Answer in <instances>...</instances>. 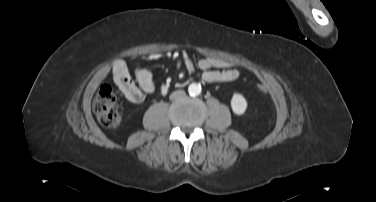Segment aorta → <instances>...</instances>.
Wrapping results in <instances>:
<instances>
[{
  "instance_id": "1",
  "label": "aorta",
  "mask_w": 376,
  "mask_h": 202,
  "mask_svg": "<svg viewBox=\"0 0 376 202\" xmlns=\"http://www.w3.org/2000/svg\"><path fill=\"white\" fill-rule=\"evenodd\" d=\"M201 85L197 83H192L188 87V92L191 96H197L201 93Z\"/></svg>"
}]
</instances>
